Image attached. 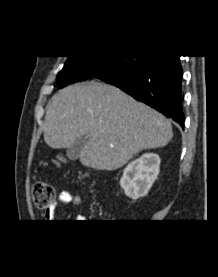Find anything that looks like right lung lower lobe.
<instances>
[{"label":"right lung lower lobe","mask_w":218,"mask_h":277,"mask_svg":"<svg viewBox=\"0 0 218 277\" xmlns=\"http://www.w3.org/2000/svg\"><path fill=\"white\" fill-rule=\"evenodd\" d=\"M82 78L101 79V76L87 73ZM181 81L182 67L179 56H152L127 82L112 85L172 118L183 127Z\"/></svg>","instance_id":"1"}]
</instances>
